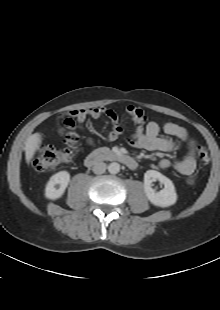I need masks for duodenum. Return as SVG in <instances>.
<instances>
[{
  "mask_svg": "<svg viewBox=\"0 0 220 310\" xmlns=\"http://www.w3.org/2000/svg\"><path fill=\"white\" fill-rule=\"evenodd\" d=\"M102 161L119 162L130 170L137 168V162L131 156L119 151L109 149H98L89 153L84 160L87 167L94 166Z\"/></svg>",
  "mask_w": 220,
  "mask_h": 310,
  "instance_id": "410a0bca",
  "label": "duodenum"
}]
</instances>
